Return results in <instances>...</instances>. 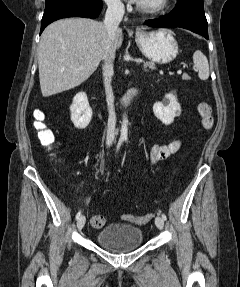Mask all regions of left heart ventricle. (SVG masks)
Instances as JSON below:
<instances>
[{
    "instance_id": "obj_1",
    "label": "left heart ventricle",
    "mask_w": 240,
    "mask_h": 287,
    "mask_svg": "<svg viewBox=\"0 0 240 287\" xmlns=\"http://www.w3.org/2000/svg\"><path fill=\"white\" fill-rule=\"evenodd\" d=\"M158 1L159 0H140V3L145 4V5H154Z\"/></svg>"
}]
</instances>
